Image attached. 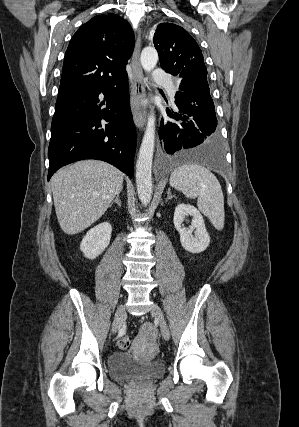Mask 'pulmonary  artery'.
<instances>
[{
	"mask_svg": "<svg viewBox=\"0 0 299 427\" xmlns=\"http://www.w3.org/2000/svg\"><path fill=\"white\" fill-rule=\"evenodd\" d=\"M152 78L155 82L162 84L166 86L168 95L170 97H174L176 94V88L172 81L170 80L169 76L165 74V72L159 68H155L152 71Z\"/></svg>",
	"mask_w": 299,
	"mask_h": 427,
	"instance_id": "1",
	"label": "pulmonary artery"
}]
</instances>
